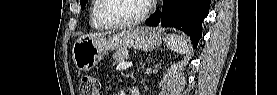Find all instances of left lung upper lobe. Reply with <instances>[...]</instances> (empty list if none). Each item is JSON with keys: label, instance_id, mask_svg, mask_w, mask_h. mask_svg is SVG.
I'll use <instances>...</instances> for the list:
<instances>
[{"label": "left lung upper lobe", "instance_id": "left-lung-upper-lobe-1", "mask_svg": "<svg viewBox=\"0 0 277 95\" xmlns=\"http://www.w3.org/2000/svg\"><path fill=\"white\" fill-rule=\"evenodd\" d=\"M87 1H88V0H81V1H80V2H81V8H82V9L85 7Z\"/></svg>", "mask_w": 277, "mask_h": 95}]
</instances>
